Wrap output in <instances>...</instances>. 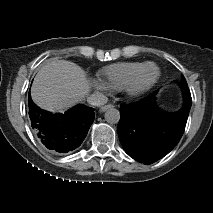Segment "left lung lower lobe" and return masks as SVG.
Masks as SVG:
<instances>
[{
    "label": "left lung lower lobe",
    "mask_w": 213,
    "mask_h": 213,
    "mask_svg": "<svg viewBox=\"0 0 213 213\" xmlns=\"http://www.w3.org/2000/svg\"><path fill=\"white\" fill-rule=\"evenodd\" d=\"M183 91V107L168 114L158 109L152 93L141 101L122 105L117 126L119 140L133 159L151 164L168 154L183 135L192 98L187 82L179 83Z\"/></svg>",
    "instance_id": "obj_1"
}]
</instances>
